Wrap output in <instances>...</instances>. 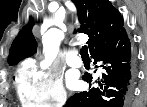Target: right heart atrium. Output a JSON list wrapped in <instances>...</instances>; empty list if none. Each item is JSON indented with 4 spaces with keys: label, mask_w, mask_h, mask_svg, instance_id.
Listing matches in <instances>:
<instances>
[{
    "label": "right heart atrium",
    "mask_w": 147,
    "mask_h": 107,
    "mask_svg": "<svg viewBox=\"0 0 147 107\" xmlns=\"http://www.w3.org/2000/svg\"><path fill=\"white\" fill-rule=\"evenodd\" d=\"M17 93L22 105L57 107L68 97L61 75L52 70H42L34 63L23 66L17 75Z\"/></svg>",
    "instance_id": "d8ad5b80"
}]
</instances>
